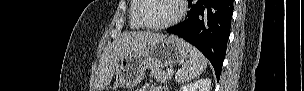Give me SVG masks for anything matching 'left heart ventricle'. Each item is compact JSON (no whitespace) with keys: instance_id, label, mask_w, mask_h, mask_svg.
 <instances>
[{"instance_id":"b2bd125f","label":"left heart ventricle","mask_w":304,"mask_h":91,"mask_svg":"<svg viewBox=\"0 0 304 91\" xmlns=\"http://www.w3.org/2000/svg\"><path fill=\"white\" fill-rule=\"evenodd\" d=\"M178 12L175 0H146L142 12L149 24H161L171 20Z\"/></svg>"}]
</instances>
